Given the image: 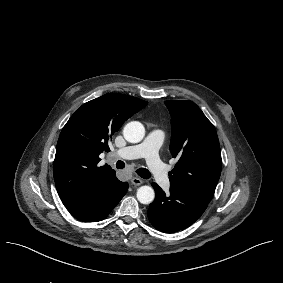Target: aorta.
Listing matches in <instances>:
<instances>
[{
    "label": "aorta",
    "instance_id": "aorta-1",
    "mask_svg": "<svg viewBox=\"0 0 283 283\" xmlns=\"http://www.w3.org/2000/svg\"><path fill=\"white\" fill-rule=\"evenodd\" d=\"M123 136L130 143H138L145 136V128L138 121H132L126 124L123 129ZM137 199L142 204H150L155 198V192L150 186H141L137 190Z\"/></svg>",
    "mask_w": 283,
    "mask_h": 283
}]
</instances>
